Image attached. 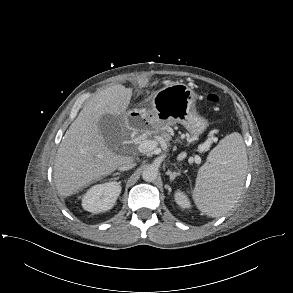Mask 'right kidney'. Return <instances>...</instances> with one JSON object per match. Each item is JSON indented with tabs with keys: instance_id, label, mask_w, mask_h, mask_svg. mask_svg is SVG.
Returning a JSON list of instances; mask_svg holds the SVG:
<instances>
[{
	"instance_id": "ca27d5eb",
	"label": "right kidney",
	"mask_w": 293,
	"mask_h": 293,
	"mask_svg": "<svg viewBox=\"0 0 293 293\" xmlns=\"http://www.w3.org/2000/svg\"><path fill=\"white\" fill-rule=\"evenodd\" d=\"M121 185L116 181L92 186L82 197V207L91 213H100L110 210L119 194Z\"/></svg>"
}]
</instances>
